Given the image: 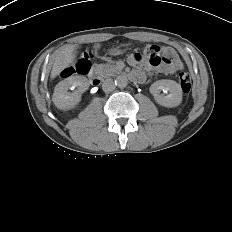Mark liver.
Instances as JSON below:
<instances>
[{
  "label": "liver",
  "mask_w": 232,
  "mask_h": 232,
  "mask_svg": "<svg viewBox=\"0 0 232 232\" xmlns=\"http://www.w3.org/2000/svg\"><path fill=\"white\" fill-rule=\"evenodd\" d=\"M75 48L74 45H67L58 53L51 70V79H54L62 70L73 63L76 57Z\"/></svg>",
  "instance_id": "1"
}]
</instances>
